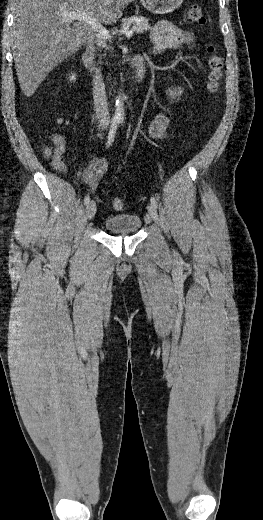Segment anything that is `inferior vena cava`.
Wrapping results in <instances>:
<instances>
[{
    "label": "inferior vena cava",
    "mask_w": 263,
    "mask_h": 520,
    "mask_svg": "<svg viewBox=\"0 0 263 520\" xmlns=\"http://www.w3.org/2000/svg\"><path fill=\"white\" fill-rule=\"evenodd\" d=\"M93 99L96 117L99 121V126L102 129H106L109 126V110L107 104V96L105 92V84L101 75L100 68L95 70L93 79Z\"/></svg>",
    "instance_id": "602c4592"
}]
</instances>
